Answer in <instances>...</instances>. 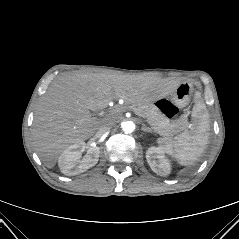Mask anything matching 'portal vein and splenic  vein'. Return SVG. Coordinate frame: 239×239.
<instances>
[{
    "label": "portal vein and splenic vein",
    "instance_id": "18ae733b",
    "mask_svg": "<svg viewBox=\"0 0 239 239\" xmlns=\"http://www.w3.org/2000/svg\"><path fill=\"white\" fill-rule=\"evenodd\" d=\"M135 114H136L137 116H139V117L144 118V116H143L142 114L138 113V112H135Z\"/></svg>",
    "mask_w": 239,
    "mask_h": 239
}]
</instances>
